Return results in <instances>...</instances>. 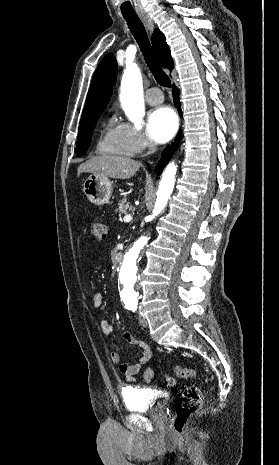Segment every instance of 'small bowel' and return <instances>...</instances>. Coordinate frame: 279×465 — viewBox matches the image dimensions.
Here are the masks:
<instances>
[{"label":"small bowel","mask_w":279,"mask_h":465,"mask_svg":"<svg viewBox=\"0 0 279 465\" xmlns=\"http://www.w3.org/2000/svg\"><path fill=\"white\" fill-rule=\"evenodd\" d=\"M92 301L95 307H100L104 302L103 292L99 289H95L92 293ZM101 329L105 335H110L113 332V326L107 320L101 321ZM122 337L128 344L137 345L141 349V354L135 363L121 362L117 352L111 353V360L116 365L118 372L125 376L128 382H132L135 380V376L139 373L141 368L152 361L154 353L149 344L140 340L135 334L123 332ZM153 378L154 371L152 368H148L144 373L143 379L145 382H150Z\"/></svg>","instance_id":"small-bowel-1"}]
</instances>
